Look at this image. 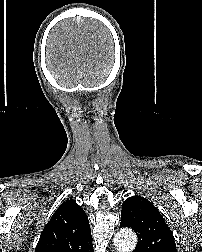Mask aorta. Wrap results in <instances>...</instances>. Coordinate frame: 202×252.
I'll use <instances>...</instances> for the list:
<instances>
[{
  "label": "aorta",
  "instance_id": "1",
  "mask_svg": "<svg viewBox=\"0 0 202 252\" xmlns=\"http://www.w3.org/2000/svg\"><path fill=\"white\" fill-rule=\"evenodd\" d=\"M137 244V236L131 229H121L114 237V245L118 252H133Z\"/></svg>",
  "mask_w": 202,
  "mask_h": 252
}]
</instances>
